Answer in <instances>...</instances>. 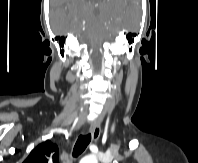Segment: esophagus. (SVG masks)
Returning a JSON list of instances; mask_svg holds the SVG:
<instances>
[{
  "label": "esophagus",
  "instance_id": "1",
  "mask_svg": "<svg viewBox=\"0 0 198 163\" xmlns=\"http://www.w3.org/2000/svg\"><path fill=\"white\" fill-rule=\"evenodd\" d=\"M90 133L92 135V140L94 142H96L99 137H100V133H101V128H100V124L98 121H94L90 127Z\"/></svg>",
  "mask_w": 198,
  "mask_h": 163
}]
</instances>
